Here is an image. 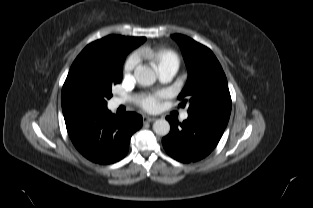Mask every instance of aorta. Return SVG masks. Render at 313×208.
I'll return each mask as SVG.
<instances>
[{"label":"aorta","instance_id":"762f6f07","mask_svg":"<svg viewBox=\"0 0 313 208\" xmlns=\"http://www.w3.org/2000/svg\"><path fill=\"white\" fill-rule=\"evenodd\" d=\"M137 82L142 86L153 85L156 81L154 70L145 65H138L134 70ZM153 131L160 136H166L170 132V124L165 119H158L153 124Z\"/></svg>","mask_w":313,"mask_h":208}]
</instances>
